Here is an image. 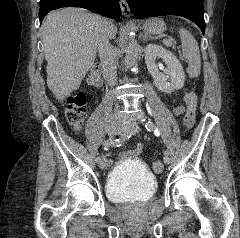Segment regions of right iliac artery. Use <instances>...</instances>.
<instances>
[{
    "label": "right iliac artery",
    "mask_w": 240,
    "mask_h": 238,
    "mask_svg": "<svg viewBox=\"0 0 240 238\" xmlns=\"http://www.w3.org/2000/svg\"><path fill=\"white\" fill-rule=\"evenodd\" d=\"M132 133L131 132H128V133H125L120 139H116L114 140V142H111V141H107V140H104V141H100L99 143L104 147L106 145H109V144H112L113 146L115 147H119L122 145V143L124 141H126L127 139H129L131 137ZM96 160L99 162L101 160V157H97Z\"/></svg>",
    "instance_id": "obj_1"
}]
</instances>
